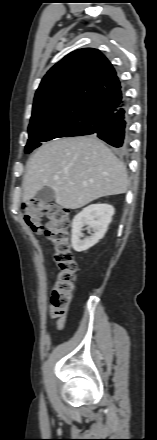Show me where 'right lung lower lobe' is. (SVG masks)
<instances>
[{
  "mask_svg": "<svg viewBox=\"0 0 157 440\" xmlns=\"http://www.w3.org/2000/svg\"><path fill=\"white\" fill-rule=\"evenodd\" d=\"M88 135L95 134L113 147L123 151L129 142V124L125 100L114 110L104 112L86 124Z\"/></svg>",
  "mask_w": 157,
  "mask_h": 440,
  "instance_id": "98d812e1",
  "label": "right lung lower lobe"
}]
</instances>
